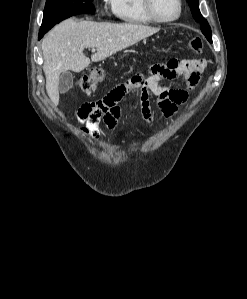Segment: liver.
Wrapping results in <instances>:
<instances>
[{
    "label": "liver",
    "mask_w": 247,
    "mask_h": 299,
    "mask_svg": "<svg viewBox=\"0 0 247 299\" xmlns=\"http://www.w3.org/2000/svg\"><path fill=\"white\" fill-rule=\"evenodd\" d=\"M159 28L131 23L75 21L56 25L44 38L42 51L46 91L54 105L59 103V76L62 72L79 73L90 64L83 51L94 48L92 62H99L157 33Z\"/></svg>",
    "instance_id": "liver-1"
}]
</instances>
